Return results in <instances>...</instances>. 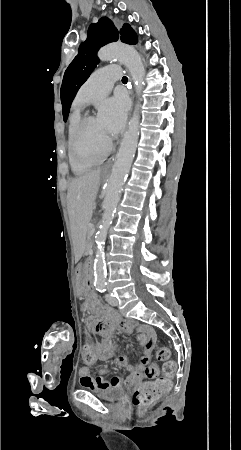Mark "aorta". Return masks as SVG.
<instances>
[{"instance_id":"1","label":"aorta","mask_w":241,"mask_h":450,"mask_svg":"<svg viewBox=\"0 0 241 450\" xmlns=\"http://www.w3.org/2000/svg\"><path fill=\"white\" fill-rule=\"evenodd\" d=\"M98 57L102 61L118 59L129 70L134 82L137 96L142 92L144 86L145 70L141 56L129 45L122 43L109 44L100 49ZM139 104L135 106L132 118L128 123L127 131L122 139L116 160L112 167L110 177L106 184L105 198L103 202V216L99 230L95 235L96 253L94 260V276L97 287H103L106 282V265L104 245L108 230L114 219L116 207L119 203L123 184L130 170L139 137Z\"/></svg>"}]
</instances>
